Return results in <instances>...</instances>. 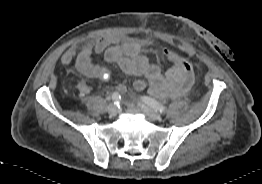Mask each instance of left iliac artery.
I'll list each match as a JSON object with an SVG mask.
<instances>
[{"label": "left iliac artery", "instance_id": "obj_1", "mask_svg": "<svg viewBox=\"0 0 262 184\" xmlns=\"http://www.w3.org/2000/svg\"><path fill=\"white\" fill-rule=\"evenodd\" d=\"M143 101L145 103H147L154 110H157V111H159L161 113H165L166 112V108L163 105H161L160 103H158L156 100H154L153 98L144 96L143 97Z\"/></svg>", "mask_w": 262, "mask_h": 184}]
</instances>
